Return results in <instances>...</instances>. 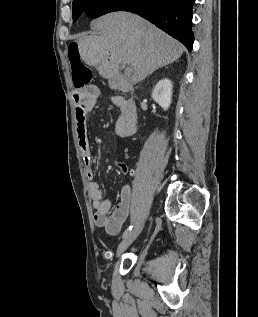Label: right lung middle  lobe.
Wrapping results in <instances>:
<instances>
[{
  "mask_svg": "<svg viewBox=\"0 0 258 317\" xmlns=\"http://www.w3.org/2000/svg\"><path fill=\"white\" fill-rule=\"evenodd\" d=\"M117 1L118 0H73V21L75 22L78 19L85 8L97 11V15L92 18L112 12Z\"/></svg>",
  "mask_w": 258,
  "mask_h": 317,
  "instance_id": "1",
  "label": "right lung middle lobe"
}]
</instances>
